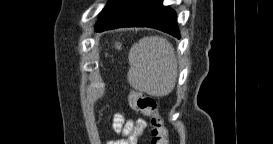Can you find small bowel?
Masks as SVG:
<instances>
[{
  "mask_svg": "<svg viewBox=\"0 0 273 144\" xmlns=\"http://www.w3.org/2000/svg\"><path fill=\"white\" fill-rule=\"evenodd\" d=\"M147 123L143 119L137 120L132 125H124V120L121 115H115L113 117V127L117 131H122L124 134V139L120 141V144H136L138 137L141 136L145 129Z\"/></svg>",
  "mask_w": 273,
  "mask_h": 144,
  "instance_id": "small-bowel-1",
  "label": "small bowel"
}]
</instances>
